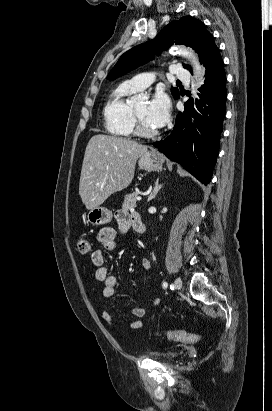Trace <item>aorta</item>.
Masks as SVG:
<instances>
[{
    "mask_svg": "<svg viewBox=\"0 0 272 411\" xmlns=\"http://www.w3.org/2000/svg\"><path fill=\"white\" fill-rule=\"evenodd\" d=\"M176 50L177 53L191 60L194 67L195 75L199 78L203 73V67L200 65L198 58L195 57V55L192 52L188 51L185 48L179 47L176 48Z\"/></svg>",
    "mask_w": 272,
    "mask_h": 411,
    "instance_id": "obj_1",
    "label": "aorta"
}]
</instances>
